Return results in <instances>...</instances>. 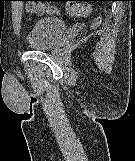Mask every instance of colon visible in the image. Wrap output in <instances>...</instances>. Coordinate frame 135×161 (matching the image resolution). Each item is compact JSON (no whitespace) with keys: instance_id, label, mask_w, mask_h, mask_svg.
I'll use <instances>...</instances> for the list:
<instances>
[{"instance_id":"1","label":"colon","mask_w":135,"mask_h":161,"mask_svg":"<svg viewBox=\"0 0 135 161\" xmlns=\"http://www.w3.org/2000/svg\"><path fill=\"white\" fill-rule=\"evenodd\" d=\"M67 1L66 4V13L70 16L75 17H85L90 13L91 7L88 4L83 3H76L75 1L71 0H63ZM102 21V17H97L94 19L92 23V27H97Z\"/></svg>"}]
</instances>
